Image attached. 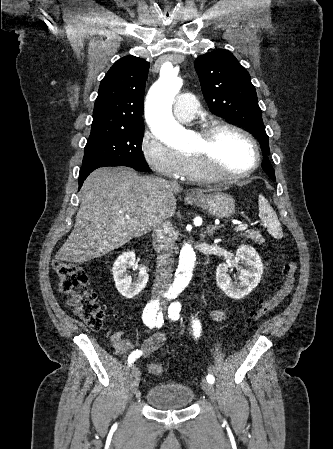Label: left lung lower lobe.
<instances>
[{
	"label": "left lung lower lobe",
	"mask_w": 333,
	"mask_h": 449,
	"mask_svg": "<svg viewBox=\"0 0 333 449\" xmlns=\"http://www.w3.org/2000/svg\"><path fill=\"white\" fill-rule=\"evenodd\" d=\"M263 165L265 166V167H269V162L268 161H264V163H263ZM275 181V180H274Z\"/></svg>",
	"instance_id": "left-lung-lower-lobe-1"
}]
</instances>
